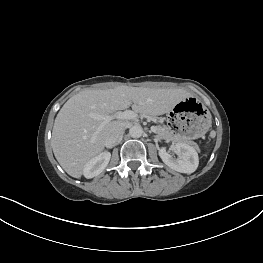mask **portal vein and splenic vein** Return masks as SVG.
<instances>
[{"label": "portal vein and splenic vein", "mask_w": 263, "mask_h": 263, "mask_svg": "<svg viewBox=\"0 0 263 263\" xmlns=\"http://www.w3.org/2000/svg\"><path fill=\"white\" fill-rule=\"evenodd\" d=\"M89 117L95 119V120H101V126L100 128H102L103 126H105L107 123H109L111 120L113 119H122V120H127V119H133L136 117V113L131 111V110H126V111H118L113 115H100L97 113H90ZM151 131L153 133H157V128L156 126H152L151 127Z\"/></svg>", "instance_id": "18ae733b"}]
</instances>
